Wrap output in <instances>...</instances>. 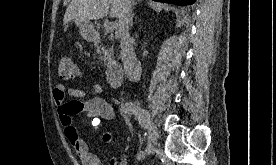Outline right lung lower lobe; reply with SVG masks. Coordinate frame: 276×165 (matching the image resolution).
I'll list each match as a JSON object with an SVG mask.
<instances>
[{"mask_svg": "<svg viewBox=\"0 0 276 165\" xmlns=\"http://www.w3.org/2000/svg\"><path fill=\"white\" fill-rule=\"evenodd\" d=\"M158 2H166V3H172L176 5L186 6L193 4L196 0H154Z\"/></svg>", "mask_w": 276, "mask_h": 165, "instance_id": "98d812e1", "label": "right lung lower lobe"}]
</instances>
